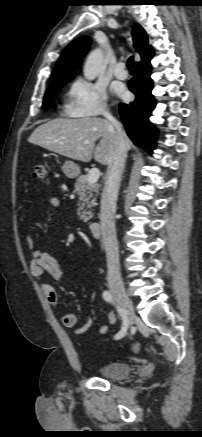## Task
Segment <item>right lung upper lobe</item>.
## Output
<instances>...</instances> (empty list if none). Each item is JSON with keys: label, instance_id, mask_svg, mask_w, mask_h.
I'll return each mask as SVG.
<instances>
[{"label": "right lung upper lobe", "instance_id": "right-lung-upper-lobe-1", "mask_svg": "<svg viewBox=\"0 0 202 437\" xmlns=\"http://www.w3.org/2000/svg\"><path fill=\"white\" fill-rule=\"evenodd\" d=\"M133 44L140 54L142 61H146L154 55L151 46L148 45V37L144 29L135 24L131 32ZM91 44L89 36H81L71 42L60 56L50 79V85L65 79H73L74 71L80 65Z\"/></svg>", "mask_w": 202, "mask_h": 437}]
</instances>
